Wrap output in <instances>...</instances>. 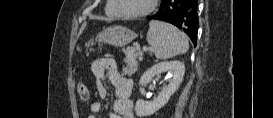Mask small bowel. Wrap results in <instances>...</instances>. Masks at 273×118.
<instances>
[{
	"label": "small bowel",
	"instance_id": "c3829d8e",
	"mask_svg": "<svg viewBox=\"0 0 273 118\" xmlns=\"http://www.w3.org/2000/svg\"><path fill=\"white\" fill-rule=\"evenodd\" d=\"M92 72L96 78V88L101 98L107 96L106 83L109 82L115 91L116 99L113 105V112L110 113V118H135L133 112L132 100V79L124 76L118 67L117 62L111 58H102L95 60L92 64ZM87 101L89 92L82 98ZM101 111L100 102H92L90 104V115L88 118H96V115Z\"/></svg>",
	"mask_w": 273,
	"mask_h": 118
}]
</instances>
